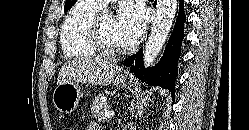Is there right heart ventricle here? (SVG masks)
<instances>
[{"mask_svg": "<svg viewBox=\"0 0 249 130\" xmlns=\"http://www.w3.org/2000/svg\"><path fill=\"white\" fill-rule=\"evenodd\" d=\"M102 7L91 0H78L65 17L60 46L66 58H90L99 54L89 40V26Z\"/></svg>", "mask_w": 249, "mask_h": 130, "instance_id": "1", "label": "right heart ventricle"}]
</instances>
